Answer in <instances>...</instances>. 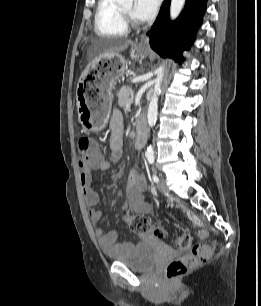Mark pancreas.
<instances>
[{"instance_id": "pancreas-1", "label": "pancreas", "mask_w": 261, "mask_h": 306, "mask_svg": "<svg viewBox=\"0 0 261 306\" xmlns=\"http://www.w3.org/2000/svg\"><path fill=\"white\" fill-rule=\"evenodd\" d=\"M118 105L120 107H128L130 105V100L133 97V90L130 86H123L117 93Z\"/></svg>"}]
</instances>
